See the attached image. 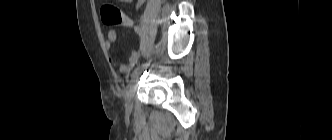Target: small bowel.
<instances>
[{"mask_svg":"<svg viewBox=\"0 0 332 140\" xmlns=\"http://www.w3.org/2000/svg\"><path fill=\"white\" fill-rule=\"evenodd\" d=\"M122 3H134L135 8L138 9L140 8L145 0H119ZM117 40V33L115 30L111 29L107 32V38L105 41V47L107 49H110L111 46L116 42ZM140 58V53L138 50H135L131 53L128 63L127 64H120L119 65V72L120 73H128L132 70V68L138 63Z\"/></svg>","mask_w":332,"mask_h":140,"instance_id":"obj_1","label":"small bowel"}]
</instances>
